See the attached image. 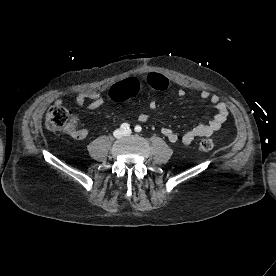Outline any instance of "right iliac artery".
Returning a JSON list of instances; mask_svg holds the SVG:
<instances>
[{
  "label": "right iliac artery",
  "mask_w": 276,
  "mask_h": 276,
  "mask_svg": "<svg viewBox=\"0 0 276 276\" xmlns=\"http://www.w3.org/2000/svg\"><path fill=\"white\" fill-rule=\"evenodd\" d=\"M120 127H121V129H123L125 131L130 129V125L128 123H123V124H121Z\"/></svg>",
  "instance_id": "obj_1"
}]
</instances>
